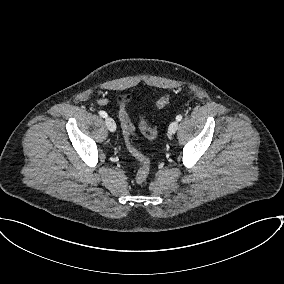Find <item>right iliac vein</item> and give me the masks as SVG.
<instances>
[{"label": "right iliac vein", "mask_w": 284, "mask_h": 284, "mask_svg": "<svg viewBox=\"0 0 284 284\" xmlns=\"http://www.w3.org/2000/svg\"><path fill=\"white\" fill-rule=\"evenodd\" d=\"M105 124L111 132L116 130V123L111 117H106Z\"/></svg>", "instance_id": "63e3f726"}]
</instances>
